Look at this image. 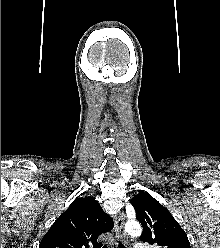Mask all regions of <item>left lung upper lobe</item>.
I'll return each instance as SVG.
<instances>
[{"mask_svg":"<svg viewBox=\"0 0 220 248\" xmlns=\"http://www.w3.org/2000/svg\"><path fill=\"white\" fill-rule=\"evenodd\" d=\"M136 219L143 226L141 241L159 248H191L186 233L171 213L148 193L131 199Z\"/></svg>","mask_w":220,"mask_h":248,"instance_id":"obj_1","label":"left lung upper lobe"}]
</instances>
